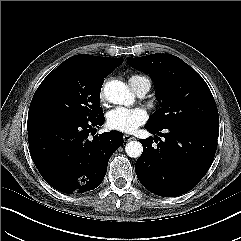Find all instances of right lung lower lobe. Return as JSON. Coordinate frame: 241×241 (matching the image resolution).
Listing matches in <instances>:
<instances>
[{
	"mask_svg": "<svg viewBox=\"0 0 241 241\" xmlns=\"http://www.w3.org/2000/svg\"><path fill=\"white\" fill-rule=\"evenodd\" d=\"M104 114L88 121L44 119L28 122L32 160L44 180L67 194L98 187L108 161L123 144V134L105 132L90 139L94 127L104 123Z\"/></svg>",
	"mask_w": 241,
	"mask_h": 241,
	"instance_id": "right-lung-lower-lobe-1",
	"label": "right lung lower lobe"
}]
</instances>
